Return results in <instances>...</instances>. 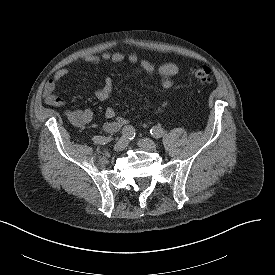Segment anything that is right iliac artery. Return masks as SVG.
<instances>
[{"instance_id": "right-iliac-artery-1", "label": "right iliac artery", "mask_w": 275, "mask_h": 275, "mask_svg": "<svg viewBox=\"0 0 275 275\" xmlns=\"http://www.w3.org/2000/svg\"><path fill=\"white\" fill-rule=\"evenodd\" d=\"M122 135L127 139H133L135 136V129L132 126H126L122 130ZM96 144H107L112 142L111 137L95 136L93 138Z\"/></svg>"}]
</instances>
